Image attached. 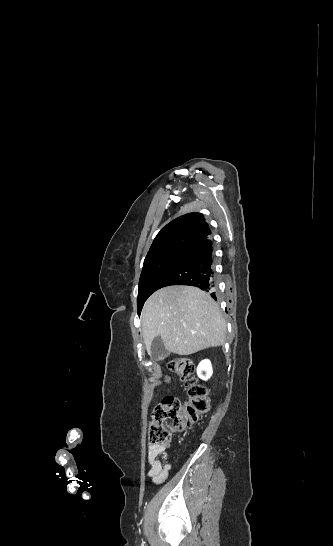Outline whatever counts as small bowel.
<instances>
[{
	"label": "small bowel",
	"instance_id": "1",
	"mask_svg": "<svg viewBox=\"0 0 333 546\" xmlns=\"http://www.w3.org/2000/svg\"><path fill=\"white\" fill-rule=\"evenodd\" d=\"M147 464L149 466L147 476L155 484L163 483L167 479L171 469L166 447L151 444L147 450Z\"/></svg>",
	"mask_w": 333,
	"mask_h": 546
}]
</instances>
